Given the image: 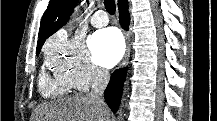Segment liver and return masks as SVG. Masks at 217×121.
<instances>
[{
	"label": "liver",
	"instance_id": "liver-1",
	"mask_svg": "<svg viewBox=\"0 0 217 121\" xmlns=\"http://www.w3.org/2000/svg\"><path fill=\"white\" fill-rule=\"evenodd\" d=\"M36 121H109V111L88 96L63 98L38 107Z\"/></svg>",
	"mask_w": 217,
	"mask_h": 121
}]
</instances>
